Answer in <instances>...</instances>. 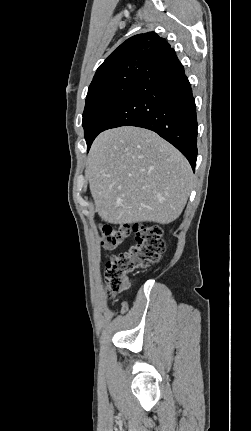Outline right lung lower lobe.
<instances>
[{"mask_svg": "<svg viewBox=\"0 0 251 431\" xmlns=\"http://www.w3.org/2000/svg\"><path fill=\"white\" fill-rule=\"evenodd\" d=\"M137 126L174 145L193 170L197 158L196 105L191 84L174 51L152 54L146 71L107 120L104 130Z\"/></svg>", "mask_w": 251, "mask_h": 431, "instance_id": "right-lung-lower-lobe-1", "label": "right lung lower lobe"}]
</instances>
